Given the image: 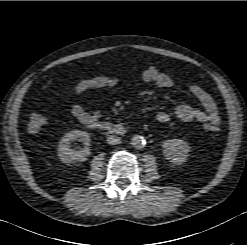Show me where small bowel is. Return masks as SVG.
I'll list each match as a JSON object with an SVG mask.
<instances>
[{
  "label": "small bowel",
  "mask_w": 247,
  "mask_h": 245,
  "mask_svg": "<svg viewBox=\"0 0 247 245\" xmlns=\"http://www.w3.org/2000/svg\"><path fill=\"white\" fill-rule=\"evenodd\" d=\"M141 79L143 82L150 84L158 89H167L173 86V79L169 74L159 70L155 66H147L141 72ZM118 77H109V82L106 87L112 88L119 84ZM190 93L198 100L201 104V108L193 107L188 104H180L173 110V114L165 111H160L156 114V120L159 123H167L170 121L172 115L177 119L189 122L199 121L201 123H210L217 126L221 123L219 110L214 98L204 88L197 84H190L188 87ZM87 91L76 87L72 90L74 95H80ZM70 113L80 123L92 126L93 123L97 122L100 117L98 111L89 112L79 104H74L70 108Z\"/></svg>",
  "instance_id": "c3829d8e"
}]
</instances>
